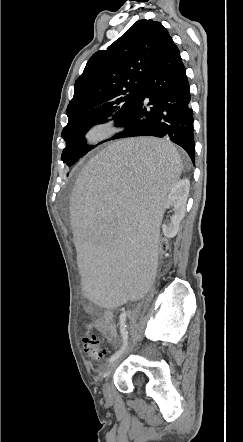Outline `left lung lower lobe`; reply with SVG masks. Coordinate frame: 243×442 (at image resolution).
Returning a JSON list of instances; mask_svg holds the SVG:
<instances>
[{
	"instance_id": "obj_1",
	"label": "left lung lower lobe",
	"mask_w": 243,
	"mask_h": 442,
	"mask_svg": "<svg viewBox=\"0 0 243 442\" xmlns=\"http://www.w3.org/2000/svg\"><path fill=\"white\" fill-rule=\"evenodd\" d=\"M190 87L180 52L171 37L148 71L133 114L110 140L154 136L181 146L194 162L193 110ZM146 98L149 99L146 103ZM151 105L150 108L146 106Z\"/></svg>"
}]
</instances>
